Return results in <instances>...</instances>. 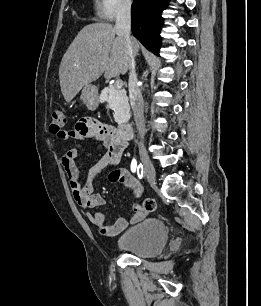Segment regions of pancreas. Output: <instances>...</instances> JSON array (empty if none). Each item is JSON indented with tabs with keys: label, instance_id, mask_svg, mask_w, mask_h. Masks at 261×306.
<instances>
[{
	"label": "pancreas",
	"instance_id": "cf45deb5",
	"mask_svg": "<svg viewBox=\"0 0 261 306\" xmlns=\"http://www.w3.org/2000/svg\"><path fill=\"white\" fill-rule=\"evenodd\" d=\"M100 101L107 102L110 109L114 111L115 122L121 124L130 117V106L125 89L117 88L116 85L105 87L100 94Z\"/></svg>",
	"mask_w": 261,
	"mask_h": 306
}]
</instances>
